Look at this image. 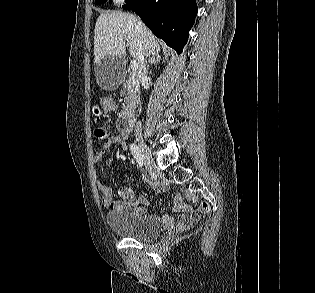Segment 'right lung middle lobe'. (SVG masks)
I'll return each instance as SVG.
<instances>
[{
  "mask_svg": "<svg viewBox=\"0 0 315 293\" xmlns=\"http://www.w3.org/2000/svg\"><path fill=\"white\" fill-rule=\"evenodd\" d=\"M107 0H95L96 3H99V4H103L105 3Z\"/></svg>",
  "mask_w": 315,
  "mask_h": 293,
  "instance_id": "obj_1",
  "label": "right lung middle lobe"
}]
</instances>
